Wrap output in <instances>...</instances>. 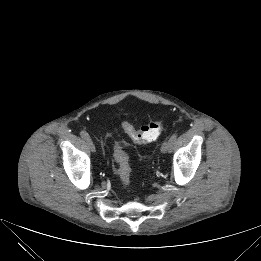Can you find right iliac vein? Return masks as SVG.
Listing matches in <instances>:
<instances>
[{"mask_svg":"<svg viewBox=\"0 0 261 261\" xmlns=\"http://www.w3.org/2000/svg\"><path fill=\"white\" fill-rule=\"evenodd\" d=\"M86 145L92 153L96 152V147L91 139L86 140Z\"/></svg>","mask_w":261,"mask_h":261,"instance_id":"1","label":"right iliac vein"}]
</instances>
